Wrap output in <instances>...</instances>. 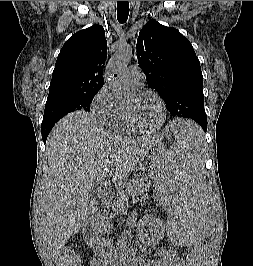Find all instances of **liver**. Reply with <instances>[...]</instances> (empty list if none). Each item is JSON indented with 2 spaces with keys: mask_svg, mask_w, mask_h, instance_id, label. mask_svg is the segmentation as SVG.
Wrapping results in <instances>:
<instances>
[{
  "mask_svg": "<svg viewBox=\"0 0 253 266\" xmlns=\"http://www.w3.org/2000/svg\"><path fill=\"white\" fill-rule=\"evenodd\" d=\"M160 137H122L101 127L85 111L70 113L51 130L46 152L49 170L42 188L39 226L53 261L66 241L98 214L92 191L98 179L111 177L120 190Z\"/></svg>",
  "mask_w": 253,
  "mask_h": 266,
  "instance_id": "obj_1",
  "label": "liver"
}]
</instances>
